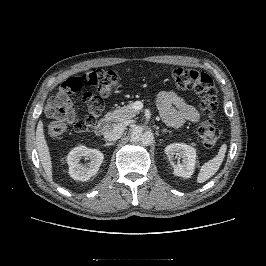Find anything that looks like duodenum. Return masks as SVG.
Listing matches in <instances>:
<instances>
[{"mask_svg": "<svg viewBox=\"0 0 266 266\" xmlns=\"http://www.w3.org/2000/svg\"><path fill=\"white\" fill-rule=\"evenodd\" d=\"M107 129H108V120L103 119L95 124L94 133L96 136H102Z\"/></svg>", "mask_w": 266, "mask_h": 266, "instance_id": "duodenum-1", "label": "duodenum"}]
</instances>
